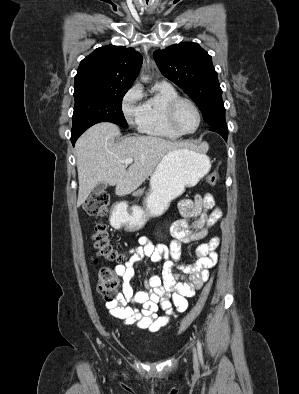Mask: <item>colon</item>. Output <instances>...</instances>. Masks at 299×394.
<instances>
[{
    "instance_id": "colon-1",
    "label": "colon",
    "mask_w": 299,
    "mask_h": 394,
    "mask_svg": "<svg viewBox=\"0 0 299 394\" xmlns=\"http://www.w3.org/2000/svg\"><path fill=\"white\" fill-rule=\"evenodd\" d=\"M206 181L209 185H216L218 174L216 172H210L207 175ZM109 205V194L106 191H95L84 203L83 211L89 216H105L108 213ZM93 241L97 256L108 262H121L123 260V256L110 241L109 231L105 223L98 222L95 224ZM119 286L120 281L111 269L103 267L99 270L98 290L104 299L108 301L114 300L117 297ZM211 288L212 279L210 278L205 282L200 298L195 306L181 321L179 333L184 332L202 312Z\"/></svg>"
}]
</instances>
